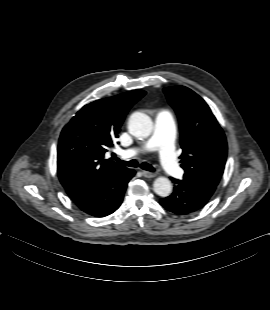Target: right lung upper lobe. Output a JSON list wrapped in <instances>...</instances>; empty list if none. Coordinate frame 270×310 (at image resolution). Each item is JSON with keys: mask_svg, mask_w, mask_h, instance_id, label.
<instances>
[{"mask_svg": "<svg viewBox=\"0 0 270 310\" xmlns=\"http://www.w3.org/2000/svg\"><path fill=\"white\" fill-rule=\"evenodd\" d=\"M133 90L85 105L63 128L58 144V177L64 188L90 183L124 166L104 159L114 146L131 106L145 95Z\"/></svg>", "mask_w": 270, "mask_h": 310, "instance_id": "cb5924a9", "label": "right lung upper lobe"}]
</instances>
